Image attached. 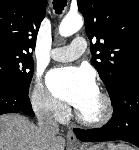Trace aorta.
Instances as JSON below:
<instances>
[{
    "label": "aorta",
    "instance_id": "obj_1",
    "mask_svg": "<svg viewBox=\"0 0 139 150\" xmlns=\"http://www.w3.org/2000/svg\"><path fill=\"white\" fill-rule=\"evenodd\" d=\"M83 25V18L80 14H68L64 17L59 26L61 36L68 37L77 32Z\"/></svg>",
    "mask_w": 139,
    "mask_h": 150
}]
</instances>
